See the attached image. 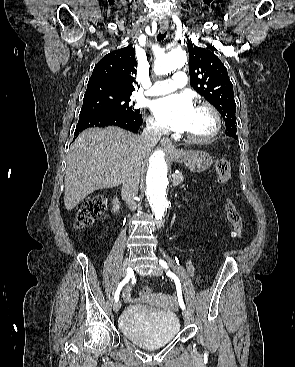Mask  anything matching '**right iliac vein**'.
I'll use <instances>...</instances> for the list:
<instances>
[{
	"label": "right iliac vein",
	"instance_id": "obj_1",
	"mask_svg": "<svg viewBox=\"0 0 295 367\" xmlns=\"http://www.w3.org/2000/svg\"><path fill=\"white\" fill-rule=\"evenodd\" d=\"M130 267V261H129V258H125L124 260V270H123V275H127V269ZM121 308V302L120 301H117L114 303V306H113V310L114 312H118Z\"/></svg>",
	"mask_w": 295,
	"mask_h": 367
}]
</instances>
